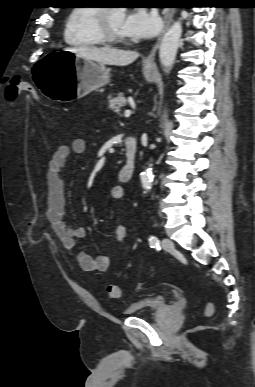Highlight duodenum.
<instances>
[{"label": "duodenum", "instance_id": "obj_1", "mask_svg": "<svg viewBox=\"0 0 255 387\" xmlns=\"http://www.w3.org/2000/svg\"><path fill=\"white\" fill-rule=\"evenodd\" d=\"M137 155V142L133 136L125 138V163L119 170V178L122 181H129L135 170V162Z\"/></svg>", "mask_w": 255, "mask_h": 387}]
</instances>
